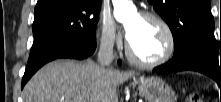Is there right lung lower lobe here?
I'll return each mask as SVG.
<instances>
[{
  "label": "right lung lower lobe",
  "instance_id": "98d812e1",
  "mask_svg": "<svg viewBox=\"0 0 221 102\" xmlns=\"http://www.w3.org/2000/svg\"><path fill=\"white\" fill-rule=\"evenodd\" d=\"M96 46V42H88L77 39L62 40L53 43L34 57L29 58L28 65L22 79L21 88H23L31 76L47 62L58 58L82 60L92 55Z\"/></svg>",
  "mask_w": 221,
  "mask_h": 102
}]
</instances>
